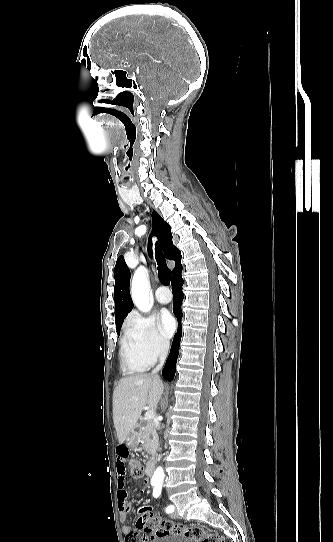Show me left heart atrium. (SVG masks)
<instances>
[{
    "label": "left heart atrium",
    "instance_id": "left-heart-atrium-1",
    "mask_svg": "<svg viewBox=\"0 0 333 542\" xmlns=\"http://www.w3.org/2000/svg\"><path fill=\"white\" fill-rule=\"evenodd\" d=\"M162 323L168 334H172L174 332L176 328V321L171 314L169 313L164 314L162 316Z\"/></svg>",
    "mask_w": 333,
    "mask_h": 542
}]
</instances>
